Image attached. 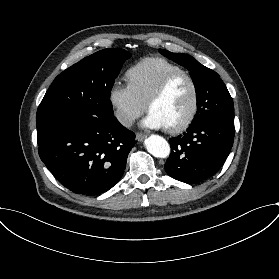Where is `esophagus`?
<instances>
[{"mask_svg": "<svg viewBox=\"0 0 279 279\" xmlns=\"http://www.w3.org/2000/svg\"><path fill=\"white\" fill-rule=\"evenodd\" d=\"M145 138H146V136L142 133H137L136 134V140L139 141V142H142Z\"/></svg>", "mask_w": 279, "mask_h": 279, "instance_id": "1", "label": "esophagus"}]
</instances>
